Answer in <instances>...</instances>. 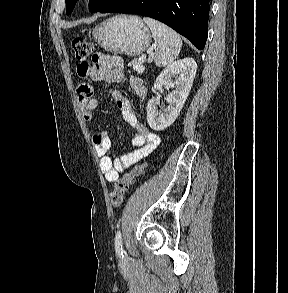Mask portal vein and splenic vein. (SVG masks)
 Returning <instances> with one entry per match:
<instances>
[{
    "label": "portal vein and splenic vein",
    "instance_id": "portal-vein-and-splenic-vein-1",
    "mask_svg": "<svg viewBox=\"0 0 288 293\" xmlns=\"http://www.w3.org/2000/svg\"><path fill=\"white\" fill-rule=\"evenodd\" d=\"M152 59L153 57L150 56L148 60L150 61ZM133 69L136 70L138 73H142L145 70V67L142 64H139V65H133Z\"/></svg>",
    "mask_w": 288,
    "mask_h": 293
}]
</instances>
